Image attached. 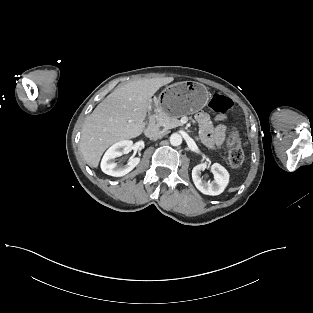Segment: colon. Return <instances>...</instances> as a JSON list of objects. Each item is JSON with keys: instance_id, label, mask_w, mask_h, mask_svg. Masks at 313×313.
Returning <instances> with one entry per match:
<instances>
[{"instance_id": "obj_1", "label": "colon", "mask_w": 313, "mask_h": 313, "mask_svg": "<svg viewBox=\"0 0 313 313\" xmlns=\"http://www.w3.org/2000/svg\"><path fill=\"white\" fill-rule=\"evenodd\" d=\"M233 105L230 98L222 94H214L209 102V107L219 113L227 112ZM228 160L233 167H240L244 162V153L239 144L237 133L231 131L227 138Z\"/></svg>"}]
</instances>
